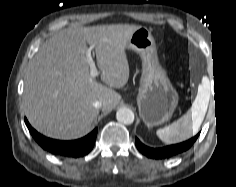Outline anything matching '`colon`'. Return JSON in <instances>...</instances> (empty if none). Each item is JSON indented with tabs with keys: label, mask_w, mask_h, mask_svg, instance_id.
<instances>
[{
	"label": "colon",
	"mask_w": 236,
	"mask_h": 187,
	"mask_svg": "<svg viewBox=\"0 0 236 187\" xmlns=\"http://www.w3.org/2000/svg\"><path fill=\"white\" fill-rule=\"evenodd\" d=\"M166 66H167V69L171 72V67L169 63V55L166 56Z\"/></svg>",
	"instance_id": "colon-1"
}]
</instances>
